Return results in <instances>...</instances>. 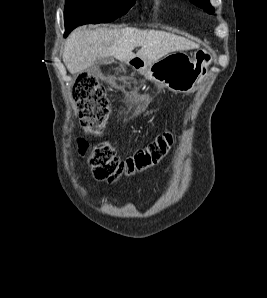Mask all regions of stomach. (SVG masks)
Masks as SVG:
<instances>
[{
  "instance_id": "obj_1",
  "label": "stomach",
  "mask_w": 267,
  "mask_h": 298,
  "mask_svg": "<svg viewBox=\"0 0 267 298\" xmlns=\"http://www.w3.org/2000/svg\"><path fill=\"white\" fill-rule=\"evenodd\" d=\"M138 59L137 70L147 80L165 86L174 93L193 92L207 77L213 62L212 54L205 49H197L191 57L178 52L155 62Z\"/></svg>"
}]
</instances>
